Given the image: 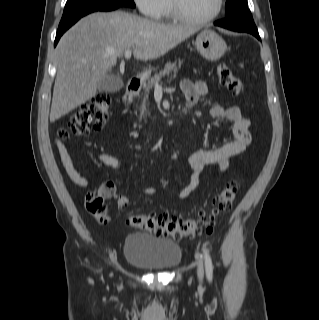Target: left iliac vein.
Listing matches in <instances>:
<instances>
[{
  "instance_id": "left-iliac-vein-1",
  "label": "left iliac vein",
  "mask_w": 319,
  "mask_h": 320,
  "mask_svg": "<svg viewBox=\"0 0 319 320\" xmlns=\"http://www.w3.org/2000/svg\"><path fill=\"white\" fill-rule=\"evenodd\" d=\"M197 274H198V278L201 281L203 279V265L202 262L199 261L198 263V267H197Z\"/></svg>"
}]
</instances>
